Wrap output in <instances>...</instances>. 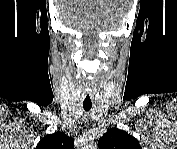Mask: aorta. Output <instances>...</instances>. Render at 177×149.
<instances>
[{
    "label": "aorta",
    "mask_w": 177,
    "mask_h": 149,
    "mask_svg": "<svg viewBox=\"0 0 177 149\" xmlns=\"http://www.w3.org/2000/svg\"><path fill=\"white\" fill-rule=\"evenodd\" d=\"M89 148H90V149H94V147H93V146H89Z\"/></svg>",
    "instance_id": "obj_1"
}]
</instances>
